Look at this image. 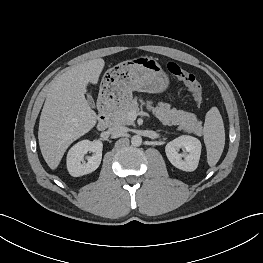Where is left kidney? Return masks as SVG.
<instances>
[{"label": "left kidney", "mask_w": 263, "mask_h": 263, "mask_svg": "<svg viewBox=\"0 0 263 263\" xmlns=\"http://www.w3.org/2000/svg\"><path fill=\"white\" fill-rule=\"evenodd\" d=\"M201 142L199 139L182 135L167 143L165 152L173 166L183 171H194L199 163L201 155ZM183 149L184 153H179Z\"/></svg>", "instance_id": "left-kidney-1"}]
</instances>
